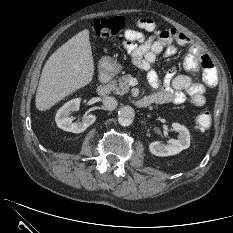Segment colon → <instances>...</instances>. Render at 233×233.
Returning <instances> with one entry per match:
<instances>
[{"label":"colon","instance_id":"5ec220e1","mask_svg":"<svg viewBox=\"0 0 233 233\" xmlns=\"http://www.w3.org/2000/svg\"><path fill=\"white\" fill-rule=\"evenodd\" d=\"M93 32L100 38H110L119 35L126 26V20L120 16L109 18L95 19L92 24ZM212 121L210 112H202L193 121V126L196 130H207Z\"/></svg>","mask_w":233,"mask_h":233}]
</instances>
